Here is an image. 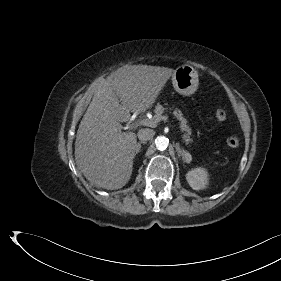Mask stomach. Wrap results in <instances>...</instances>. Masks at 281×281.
Segmentation results:
<instances>
[{
	"instance_id": "obj_1",
	"label": "stomach",
	"mask_w": 281,
	"mask_h": 281,
	"mask_svg": "<svg viewBox=\"0 0 281 281\" xmlns=\"http://www.w3.org/2000/svg\"><path fill=\"white\" fill-rule=\"evenodd\" d=\"M172 84L179 94L192 95L198 89V73L190 65L179 66L172 74Z\"/></svg>"
}]
</instances>
